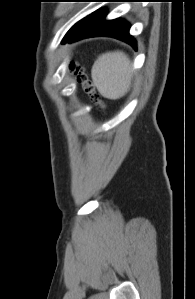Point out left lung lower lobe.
Here are the masks:
<instances>
[{
  "instance_id": "1",
  "label": "left lung lower lobe",
  "mask_w": 195,
  "mask_h": 299,
  "mask_svg": "<svg viewBox=\"0 0 195 299\" xmlns=\"http://www.w3.org/2000/svg\"><path fill=\"white\" fill-rule=\"evenodd\" d=\"M105 16V11L99 9L80 20L67 32L62 43L88 37L108 36L122 40L136 49V41L129 35L130 25L122 19L105 21Z\"/></svg>"
}]
</instances>
